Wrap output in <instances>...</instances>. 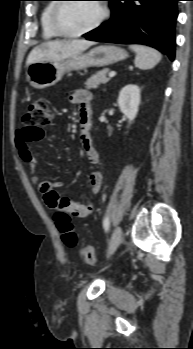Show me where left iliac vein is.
Wrapping results in <instances>:
<instances>
[{"mask_svg": "<svg viewBox=\"0 0 193 349\" xmlns=\"http://www.w3.org/2000/svg\"><path fill=\"white\" fill-rule=\"evenodd\" d=\"M122 240V229L120 226H117L111 236L110 242H109V246L107 249V257H110L115 250L117 249V247L119 246L120 242Z\"/></svg>", "mask_w": 193, "mask_h": 349, "instance_id": "1", "label": "left iliac vein"}]
</instances>
